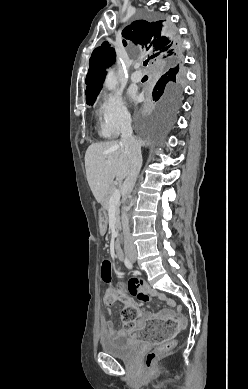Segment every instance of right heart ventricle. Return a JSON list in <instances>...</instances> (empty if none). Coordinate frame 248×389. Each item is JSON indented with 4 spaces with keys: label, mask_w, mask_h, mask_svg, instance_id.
<instances>
[{
    "label": "right heart ventricle",
    "mask_w": 248,
    "mask_h": 389,
    "mask_svg": "<svg viewBox=\"0 0 248 389\" xmlns=\"http://www.w3.org/2000/svg\"><path fill=\"white\" fill-rule=\"evenodd\" d=\"M100 132H101V135H103L104 137H108L105 132L103 131V128H102V124L100 125Z\"/></svg>",
    "instance_id": "right-heart-ventricle-1"
}]
</instances>
